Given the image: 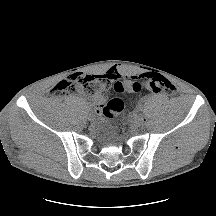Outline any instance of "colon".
I'll use <instances>...</instances> for the list:
<instances>
[{"label": "colon", "instance_id": "obj_1", "mask_svg": "<svg viewBox=\"0 0 216 216\" xmlns=\"http://www.w3.org/2000/svg\"><path fill=\"white\" fill-rule=\"evenodd\" d=\"M111 86V80L105 75L75 74L60 81L54 89L61 93H73L91 97L97 94L106 95ZM143 87L155 93L168 95H172L175 91V87L170 81L157 74L146 75L141 80H121L113 84V89L118 94L126 91H139ZM123 109L124 101L120 96H117L108 100L103 106L102 112L106 118L112 119L119 115Z\"/></svg>", "mask_w": 216, "mask_h": 216}]
</instances>
